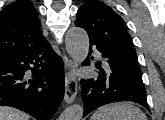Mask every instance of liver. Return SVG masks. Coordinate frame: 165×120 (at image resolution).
Instances as JSON below:
<instances>
[{
  "label": "liver",
  "mask_w": 165,
  "mask_h": 120,
  "mask_svg": "<svg viewBox=\"0 0 165 120\" xmlns=\"http://www.w3.org/2000/svg\"><path fill=\"white\" fill-rule=\"evenodd\" d=\"M30 116L23 111L8 106H0V120H29Z\"/></svg>",
  "instance_id": "liver-1"
}]
</instances>
